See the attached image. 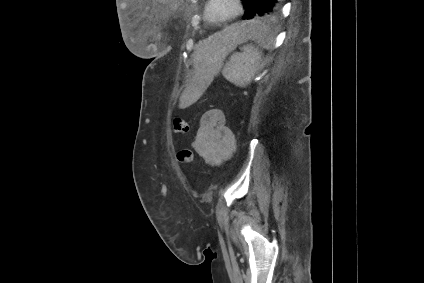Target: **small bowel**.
I'll return each instance as SVG.
<instances>
[{"instance_id":"c3829d8e","label":"small bowel","mask_w":424,"mask_h":283,"mask_svg":"<svg viewBox=\"0 0 424 283\" xmlns=\"http://www.w3.org/2000/svg\"><path fill=\"white\" fill-rule=\"evenodd\" d=\"M192 148L212 166L219 165L231 157L235 150V138L226 125L223 110L210 109L202 115L193 137Z\"/></svg>"}]
</instances>
